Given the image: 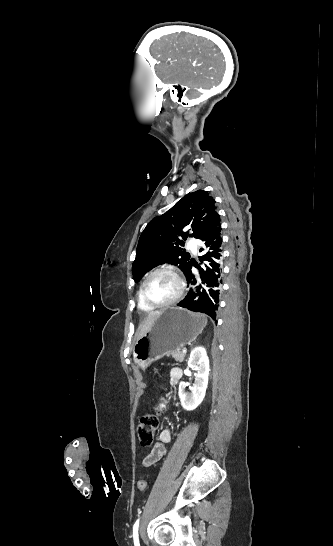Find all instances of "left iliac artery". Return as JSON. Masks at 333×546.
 I'll return each instance as SVG.
<instances>
[{"label": "left iliac artery", "instance_id": "1", "mask_svg": "<svg viewBox=\"0 0 333 546\" xmlns=\"http://www.w3.org/2000/svg\"><path fill=\"white\" fill-rule=\"evenodd\" d=\"M139 521H140V518L137 519V521L133 525V540H134V545L135 546H140L139 545V537H138Z\"/></svg>", "mask_w": 333, "mask_h": 546}]
</instances>
